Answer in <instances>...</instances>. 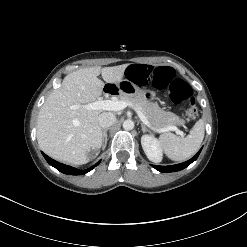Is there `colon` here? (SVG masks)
Here are the masks:
<instances>
[{
	"label": "colon",
	"mask_w": 247,
	"mask_h": 247,
	"mask_svg": "<svg viewBox=\"0 0 247 247\" xmlns=\"http://www.w3.org/2000/svg\"><path fill=\"white\" fill-rule=\"evenodd\" d=\"M127 76L138 85L151 83L159 89L167 88L169 98L173 103H186L185 114L188 118L194 119L197 117L198 109L195 105L190 85L186 81L176 78L172 68L135 64L131 65L127 71L125 69H118L116 71V78L118 80H125Z\"/></svg>",
	"instance_id": "colon-1"
}]
</instances>
